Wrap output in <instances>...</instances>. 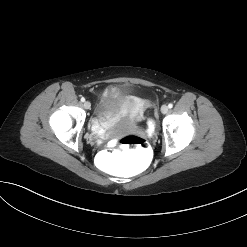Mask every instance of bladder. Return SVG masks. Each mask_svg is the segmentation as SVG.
I'll use <instances>...</instances> for the list:
<instances>
[{
  "label": "bladder",
  "mask_w": 247,
  "mask_h": 247,
  "mask_svg": "<svg viewBox=\"0 0 247 247\" xmlns=\"http://www.w3.org/2000/svg\"><path fill=\"white\" fill-rule=\"evenodd\" d=\"M145 110L137 97L123 89L109 90L101 99L94 119L98 123H116L127 120L129 123L139 119Z\"/></svg>",
  "instance_id": "obj_1"
}]
</instances>
